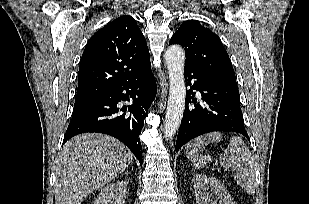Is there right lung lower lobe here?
Wrapping results in <instances>:
<instances>
[{
    "label": "right lung lower lobe",
    "mask_w": 309,
    "mask_h": 204,
    "mask_svg": "<svg viewBox=\"0 0 309 204\" xmlns=\"http://www.w3.org/2000/svg\"><path fill=\"white\" fill-rule=\"evenodd\" d=\"M126 90V93L123 91ZM156 95V82L151 69L122 85L100 94L76 100L71 122L63 143L71 137L98 132L122 141L142 164V147L138 138L147 116L148 108ZM132 99L130 114L120 113L127 108L117 107L118 102Z\"/></svg>",
    "instance_id": "obj_1"
}]
</instances>
